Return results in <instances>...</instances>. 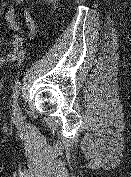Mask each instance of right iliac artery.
Returning a JSON list of instances; mask_svg holds the SVG:
<instances>
[{
    "label": "right iliac artery",
    "instance_id": "obj_1",
    "mask_svg": "<svg viewBox=\"0 0 131 177\" xmlns=\"http://www.w3.org/2000/svg\"><path fill=\"white\" fill-rule=\"evenodd\" d=\"M20 88H21V82L20 81H17L13 87V100H14V103L16 102L19 94H20ZM14 106V105H13Z\"/></svg>",
    "mask_w": 131,
    "mask_h": 177
}]
</instances>
